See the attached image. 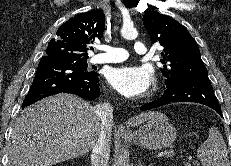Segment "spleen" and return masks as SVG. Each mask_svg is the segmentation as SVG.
<instances>
[{"instance_id": "obj_1", "label": "spleen", "mask_w": 231, "mask_h": 166, "mask_svg": "<svg viewBox=\"0 0 231 166\" xmlns=\"http://www.w3.org/2000/svg\"><path fill=\"white\" fill-rule=\"evenodd\" d=\"M202 166H230L226 143L220 131L211 127L208 138L197 149Z\"/></svg>"}]
</instances>
